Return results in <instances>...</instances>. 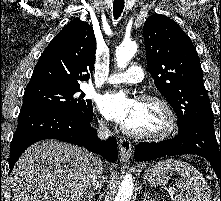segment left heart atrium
<instances>
[{
  "mask_svg": "<svg viewBox=\"0 0 221 201\" xmlns=\"http://www.w3.org/2000/svg\"><path fill=\"white\" fill-rule=\"evenodd\" d=\"M97 105L107 119L125 125L134 114L136 101L124 92L110 91L99 97Z\"/></svg>",
  "mask_w": 221,
  "mask_h": 201,
  "instance_id": "39dd6f15",
  "label": "left heart atrium"
}]
</instances>
